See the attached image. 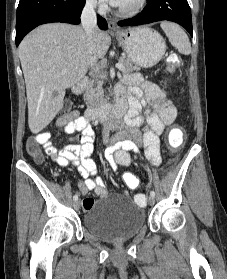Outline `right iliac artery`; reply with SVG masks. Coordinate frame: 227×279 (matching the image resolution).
<instances>
[{
    "instance_id": "82829eb1",
    "label": "right iliac artery",
    "mask_w": 227,
    "mask_h": 279,
    "mask_svg": "<svg viewBox=\"0 0 227 279\" xmlns=\"http://www.w3.org/2000/svg\"><path fill=\"white\" fill-rule=\"evenodd\" d=\"M73 200H74V201H77V200H78V196H77V195H74V196H73Z\"/></svg>"
}]
</instances>
